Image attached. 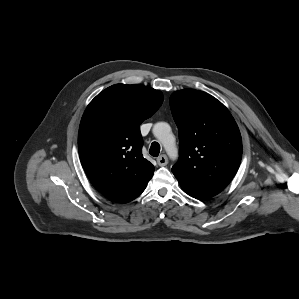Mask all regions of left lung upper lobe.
<instances>
[{"label": "left lung upper lobe", "instance_id": "left-lung-upper-lobe-1", "mask_svg": "<svg viewBox=\"0 0 299 299\" xmlns=\"http://www.w3.org/2000/svg\"><path fill=\"white\" fill-rule=\"evenodd\" d=\"M170 107L180 141L179 159L172 172L187 194L211 198L230 183L239 168V128L227 108L202 91H176Z\"/></svg>", "mask_w": 299, "mask_h": 299}]
</instances>
